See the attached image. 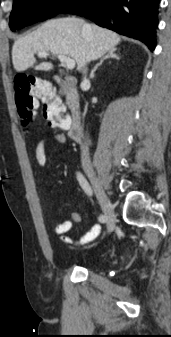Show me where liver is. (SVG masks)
<instances>
[{"mask_svg": "<svg viewBox=\"0 0 171 337\" xmlns=\"http://www.w3.org/2000/svg\"><path fill=\"white\" fill-rule=\"evenodd\" d=\"M87 25V28H84ZM121 38L117 33L76 17L52 19L41 27L17 39L12 48V62L17 72H22L36 63L34 55L50 52L65 55L77 63V71L90 61L97 60L106 52L115 49ZM53 65L42 62L35 70L49 71Z\"/></svg>", "mask_w": 171, "mask_h": 337, "instance_id": "6515ba94", "label": "liver"}]
</instances>
